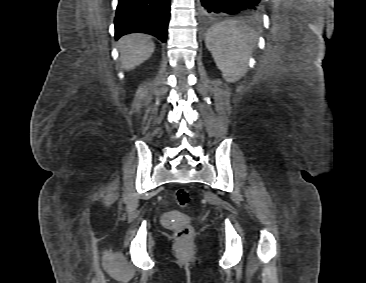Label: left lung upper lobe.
<instances>
[{"instance_id": "5c2ea615", "label": "left lung upper lobe", "mask_w": 366, "mask_h": 283, "mask_svg": "<svg viewBox=\"0 0 366 283\" xmlns=\"http://www.w3.org/2000/svg\"><path fill=\"white\" fill-rule=\"evenodd\" d=\"M253 16H259L261 13V10L255 11V12H249Z\"/></svg>"}]
</instances>
